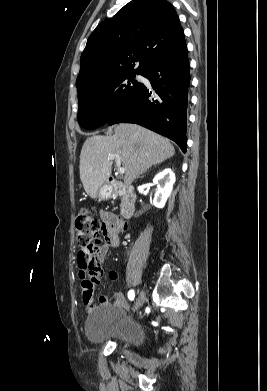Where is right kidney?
Returning a JSON list of instances; mask_svg holds the SVG:
<instances>
[{
    "label": "right kidney",
    "mask_w": 267,
    "mask_h": 391,
    "mask_svg": "<svg viewBox=\"0 0 267 391\" xmlns=\"http://www.w3.org/2000/svg\"><path fill=\"white\" fill-rule=\"evenodd\" d=\"M174 183L175 174L169 168L155 176L153 184L156 185L157 191L154 196L153 205L156 208H163L165 206V203L172 192Z\"/></svg>",
    "instance_id": "ca27d5eb"
}]
</instances>
